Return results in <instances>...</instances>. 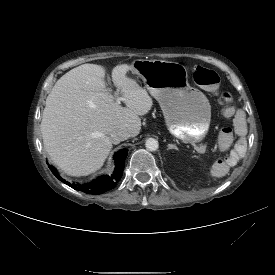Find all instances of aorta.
Masks as SVG:
<instances>
[{
	"instance_id": "aorta-1",
	"label": "aorta",
	"mask_w": 275,
	"mask_h": 275,
	"mask_svg": "<svg viewBox=\"0 0 275 275\" xmlns=\"http://www.w3.org/2000/svg\"><path fill=\"white\" fill-rule=\"evenodd\" d=\"M145 146L149 151H156L159 147L157 140L149 138L146 140Z\"/></svg>"
}]
</instances>
